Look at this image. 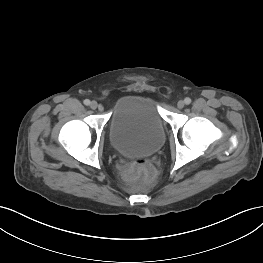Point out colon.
Returning <instances> with one entry per match:
<instances>
[{
    "label": "colon",
    "mask_w": 263,
    "mask_h": 263,
    "mask_svg": "<svg viewBox=\"0 0 263 263\" xmlns=\"http://www.w3.org/2000/svg\"><path fill=\"white\" fill-rule=\"evenodd\" d=\"M130 174L139 175L146 181H152L156 177V170L149 162L139 160L130 168Z\"/></svg>",
    "instance_id": "1"
}]
</instances>
